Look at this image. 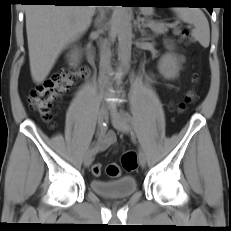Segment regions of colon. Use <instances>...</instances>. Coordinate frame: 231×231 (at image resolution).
I'll return each mask as SVG.
<instances>
[{
	"label": "colon",
	"instance_id": "obj_1",
	"mask_svg": "<svg viewBox=\"0 0 231 231\" xmlns=\"http://www.w3.org/2000/svg\"><path fill=\"white\" fill-rule=\"evenodd\" d=\"M175 33L182 38L190 37L186 28L175 27ZM86 73L87 70L84 67H69L52 74L47 80L31 90L28 98L30 106L40 114L44 121L51 122V110L54 102L66 95L85 77ZM194 100L195 95L193 93L188 94L180 108L184 109ZM137 166L136 152L128 151L122 156L121 165L109 164L106 167V173L109 177H118L122 170L131 172L136 170ZM91 171L94 176H99L102 172V165L100 163L93 164Z\"/></svg>",
	"mask_w": 231,
	"mask_h": 231
}]
</instances>
